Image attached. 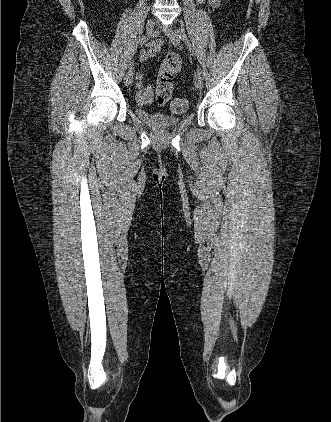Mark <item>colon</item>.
Masks as SVG:
<instances>
[{"instance_id":"1","label":"colon","mask_w":331,"mask_h":422,"mask_svg":"<svg viewBox=\"0 0 331 422\" xmlns=\"http://www.w3.org/2000/svg\"><path fill=\"white\" fill-rule=\"evenodd\" d=\"M180 69L181 58L177 54H169L162 61L156 87V101L159 105H163L170 100L173 92L174 78L179 74ZM140 100L143 105L149 101L146 97H141ZM187 105L186 99L175 98L171 102L170 109L173 113H180L187 109Z\"/></svg>"}]
</instances>
